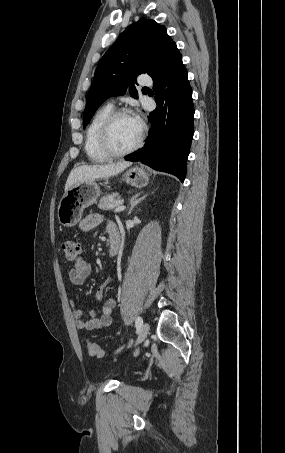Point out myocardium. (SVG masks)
Listing matches in <instances>:
<instances>
[{"label": "myocardium", "instance_id": "myocardium-1", "mask_svg": "<svg viewBox=\"0 0 285 453\" xmlns=\"http://www.w3.org/2000/svg\"><path fill=\"white\" fill-rule=\"evenodd\" d=\"M121 116H132V115L126 109L113 110L106 117V119L104 120V122L100 128V131H99L100 147L109 157H122V156H126L130 153H133L134 151L138 150L142 146L144 138H145V126L143 124H141L140 135H139L137 141L135 142V144L124 150L116 149L112 143L111 132H112V127H113L115 121Z\"/></svg>", "mask_w": 285, "mask_h": 453}]
</instances>
